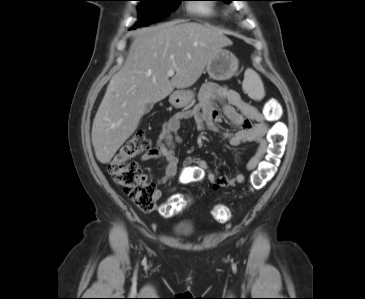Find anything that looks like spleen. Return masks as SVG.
Instances as JSON below:
<instances>
[{
    "label": "spleen",
    "mask_w": 365,
    "mask_h": 299,
    "mask_svg": "<svg viewBox=\"0 0 365 299\" xmlns=\"http://www.w3.org/2000/svg\"><path fill=\"white\" fill-rule=\"evenodd\" d=\"M243 89L246 91L248 96L253 99L260 101L263 99L264 85L257 72L253 69H247L244 73Z\"/></svg>",
    "instance_id": "obj_1"
}]
</instances>
